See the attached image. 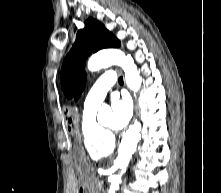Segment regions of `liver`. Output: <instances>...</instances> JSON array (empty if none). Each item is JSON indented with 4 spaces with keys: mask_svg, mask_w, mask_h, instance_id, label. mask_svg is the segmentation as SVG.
Instances as JSON below:
<instances>
[{
    "mask_svg": "<svg viewBox=\"0 0 221 193\" xmlns=\"http://www.w3.org/2000/svg\"><path fill=\"white\" fill-rule=\"evenodd\" d=\"M77 186H78V181L75 177H72L70 181V193H76L77 191Z\"/></svg>",
    "mask_w": 221,
    "mask_h": 193,
    "instance_id": "1",
    "label": "liver"
}]
</instances>
